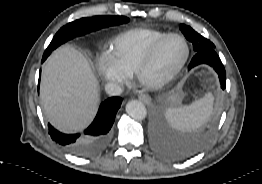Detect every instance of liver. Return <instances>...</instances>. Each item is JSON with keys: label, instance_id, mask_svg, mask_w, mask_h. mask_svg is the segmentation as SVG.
<instances>
[{"label": "liver", "instance_id": "1", "mask_svg": "<svg viewBox=\"0 0 262 184\" xmlns=\"http://www.w3.org/2000/svg\"><path fill=\"white\" fill-rule=\"evenodd\" d=\"M41 100L49 121L62 132L84 129L100 101L97 78L87 59L71 46H62L47 60Z\"/></svg>", "mask_w": 262, "mask_h": 184}]
</instances>
